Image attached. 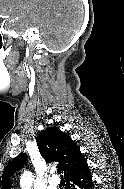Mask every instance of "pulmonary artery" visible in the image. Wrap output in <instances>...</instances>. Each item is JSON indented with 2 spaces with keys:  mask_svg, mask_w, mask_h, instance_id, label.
Instances as JSON below:
<instances>
[{
  "mask_svg": "<svg viewBox=\"0 0 124 189\" xmlns=\"http://www.w3.org/2000/svg\"><path fill=\"white\" fill-rule=\"evenodd\" d=\"M60 183V180L58 177H56L55 175L51 176L50 179H49V184L52 186V187H56L58 186Z\"/></svg>",
  "mask_w": 124,
  "mask_h": 189,
  "instance_id": "1",
  "label": "pulmonary artery"
}]
</instances>
